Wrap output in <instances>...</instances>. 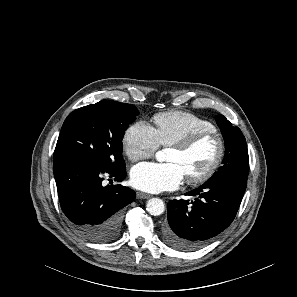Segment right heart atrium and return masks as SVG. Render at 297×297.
<instances>
[{
	"mask_svg": "<svg viewBox=\"0 0 297 297\" xmlns=\"http://www.w3.org/2000/svg\"><path fill=\"white\" fill-rule=\"evenodd\" d=\"M122 145L124 153L131 161L149 158L159 148L154 127L143 120L127 128L122 138Z\"/></svg>",
	"mask_w": 297,
	"mask_h": 297,
	"instance_id": "right-heart-atrium-1",
	"label": "right heart atrium"
}]
</instances>
